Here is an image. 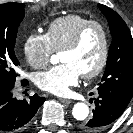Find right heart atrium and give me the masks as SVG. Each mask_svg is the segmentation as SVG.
<instances>
[{
  "label": "right heart atrium",
  "mask_w": 133,
  "mask_h": 133,
  "mask_svg": "<svg viewBox=\"0 0 133 133\" xmlns=\"http://www.w3.org/2000/svg\"><path fill=\"white\" fill-rule=\"evenodd\" d=\"M27 62L35 69L45 68L54 53V49L47 37L43 33L29 35L23 46Z\"/></svg>",
  "instance_id": "d8ad5b80"
}]
</instances>
